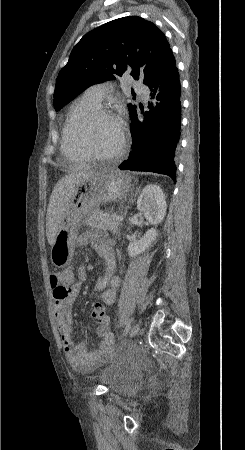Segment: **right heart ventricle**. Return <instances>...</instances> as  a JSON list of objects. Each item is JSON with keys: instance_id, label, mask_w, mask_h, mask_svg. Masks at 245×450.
I'll return each instance as SVG.
<instances>
[{"instance_id": "right-heart-ventricle-1", "label": "right heart ventricle", "mask_w": 245, "mask_h": 450, "mask_svg": "<svg viewBox=\"0 0 245 450\" xmlns=\"http://www.w3.org/2000/svg\"><path fill=\"white\" fill-rule=\"evenodd\" d=\"M101 105L89 99L85 94L76 99L67 114L65 124L62 130L61 150L62 153L74 161H87L89 157L79 146L76 138V130L85 119L99 109Z\"/></svg>"}]
</instances>
